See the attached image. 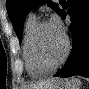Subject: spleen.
Here are the masks:
<instances>
[{
    "label": "spleen",
    "instance_id": "spleen-1",
    "mask_svg": "<svg viewBox=\"0 0 89 89\" xmlns=\"http://www.w3.org/2000/svg\"><path fill=\"white\" fill-rule=\"evenodd\" d=\"M71 85L75 88V89H79V87L81 86L82 82L80 79H71L70 80Z\"/></svg>",
    "mask_w": 89,
    "mask_h": 89
}]
</instances>
